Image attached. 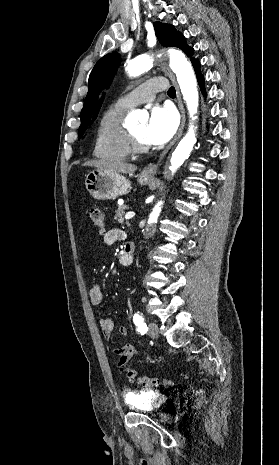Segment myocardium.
I'll return each instance as SVG.
<instances>
[{"label":"myocardium","mask_w":279,"mask_h":465,"mask_svg":"<svg viewBox=\"0 0 279 465\" xmlns=\"http://www.w3.org/2000/svg\"><path fill=\"white\" fill-rule=\"evenodd\" d=\"M127 144L130 153L133 154H144L149 151V146L141 143L131 129H127Z\"/></svg>","instance_id":"obj_1"}]
</instances>
